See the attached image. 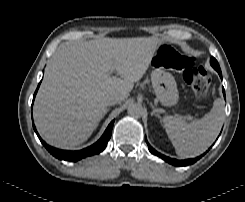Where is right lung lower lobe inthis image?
<instances>
[{"mask_svg": "<svg viewBox=\"0 0 245 202\" xmlns=\"http://www.w3.org/2000/svg\"><path fill=\"white\" fill-rule=\"evenodd\" d=\"M38 90V89H37ZM37 90L34 94V98L35 95L37 93ZM33 98V100H34ZM113 123L114 120L109 124V126L107 127V129L105 130L104 134L102 135V137L92 146H89L83 150H79V151H66V150H60L57 148H53L49 145H47L39 136V134L37 133L35 126L33 124V128L36 132V134L38 135L40 141L42 142V144L45 146V148L56 158L61 159V160H66V161H78L84 157L90 156V155H94V154H98L100 152H102L106 145L108 140L111 137V132H112V128H113Z\"/></svg>", "mask_w": 245, "mask_h": 202, "instance_id": "1", "label": "right lung lower lobe"}]
</instances>
